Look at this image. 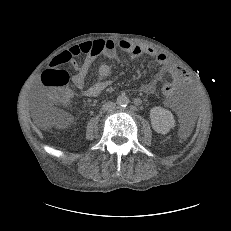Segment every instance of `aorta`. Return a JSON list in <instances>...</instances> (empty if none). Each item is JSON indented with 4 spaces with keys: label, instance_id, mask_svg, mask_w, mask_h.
<instances>
[{
    "label": "aorta",
    "instance_id": "obj_1",
    "mask_svg": "<svg viewBox=\"0 0 231 231\" xmlns=\"http://www.w3.org/2000/svg\"><path fill=\"white\" fill-rule=\"evenodd\" d=\"M116 102L120 106H126L129 103V98L125 94H122L117 97Z\"/></svg>",
    "mask_w": 231,
    "mask_h": 231
}]
</instances>
